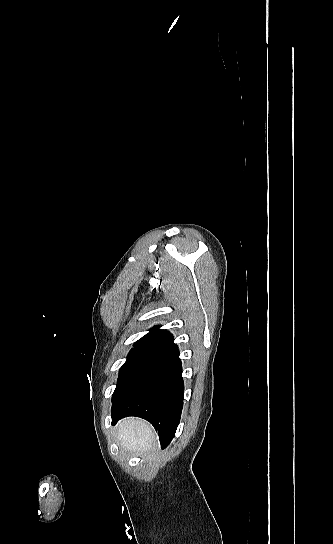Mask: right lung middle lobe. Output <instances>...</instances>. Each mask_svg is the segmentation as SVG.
<instances>
[{
  "label": "right lung middle lobe",
  "instance_id": "dd1d6c3e",
  "mask_svg": "<svg viewBox=\"0 0 333 544\" xmlns=\"http://www.w3.org/2000/svg\"><path fill=\"white\" fill-rule=\"evenodd\" d=\"M151 349L133 348L119 371L117 386L113 395H115L133 375L139 365L147 358Z\"/></svg>",
  "mask_w": 333,
  "mask_h": 544
}]
</instances>
